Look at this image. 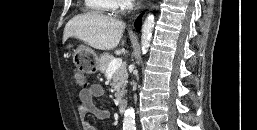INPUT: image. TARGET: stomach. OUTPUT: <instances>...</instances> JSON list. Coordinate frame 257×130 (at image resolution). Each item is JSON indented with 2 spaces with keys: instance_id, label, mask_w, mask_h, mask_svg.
I'll use <instances>...</instances> for the list:
<instances>
[{
  "instance_id": "obj_1",
  "label": "stomach",
  "mask_w": 257,
  "mask_h": 130,
  "mask_svg": "<svg viewBox=\"0 0 257 130\" xmlns=\"http://www.w3.org/2000/svg\"><path fill=\"white\" fill-rule=\"evenodd\" d=\"M69 44L67 48H70ZM73 58L77 60L78 66L86 73H95L98 70V56L90 48L80 45L74 50Z\"/></svg>"
}]
</instances>
